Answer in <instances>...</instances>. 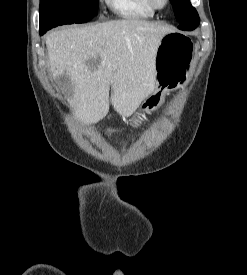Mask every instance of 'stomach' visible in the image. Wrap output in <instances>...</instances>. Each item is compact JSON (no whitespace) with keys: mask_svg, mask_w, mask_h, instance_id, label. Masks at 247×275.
Masks as SVG:
<instances>
[{"mask_svg":"<svg viewBox=\"0 0 247 275\" xmlns=\"http://www.w3.org/2000/svg\"><path fill=\"white\" fill-rule=\"evenodd\" d=\"M193 56V43L189 37L176 32L162 37L155 56L156 88L132 116L134 125L141 123L145 113L156 110L164 102L167 92L186 85L193 68Z\"/></svg>","mask_w":247,"mask_h":275,"instance_id":"0dacf381","label":"stomach"}]
</instances>
